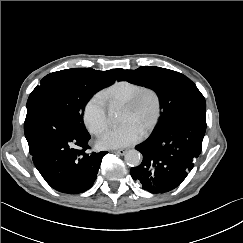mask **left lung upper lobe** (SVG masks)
I'll return each mask as SVG.
<instances>
[{"instance_id": "obj_1", "label": "left lung upper lobe", "mask_w": 243, "mask_h": 243, "mask_svg": "<svg viewBox=\"0 0 243 243\" xmlns=\"http://www.w3.org/2000/svg\"><path fill=\"white\" fill-rule=\"evenodd\" d=\"M118 80L154 90L160 100L162 115L152 134L162 130L169 120L181 110L198 103H205L204 96L186 76L161 67H139L125 70Z\"/></svg>"}]
</instances>
